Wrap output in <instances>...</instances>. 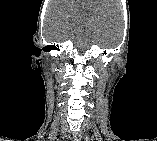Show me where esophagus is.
<instances>
[{"mask_svg":"<svg viewBox=\"0 0 157 141\" xmlns=\"http://www.w3.org/2000/svg\"><path fill=\"white\" fill-rule=\"evenodd\" d=\"M81 138H82V136H81V133H80V132L74 133V135H73V140H74V141H80Z\"/></svg>","mask_w":157,"mask_h":141,"instance_id":"34e87169","label":"esophagus"}]
</instances>
